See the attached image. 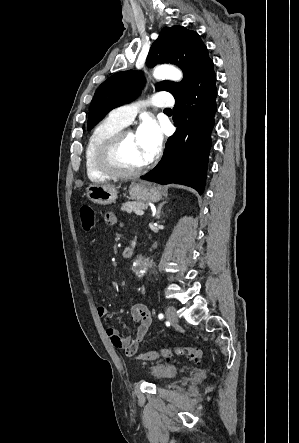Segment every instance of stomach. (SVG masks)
Here are the masks:
<instances>
[{"label": "stomach", "mask_w": 299, "mask_h": 443, "mask_svg": "<svg viewBox=\"0 0 299 443\" xmlns=\"http://www.w3.org/2000/svg\"><path fill=\"white\" fill-rule=\"evenodd\" d=\"M89 200L100 205H109L116 201L117 190L111 185L91 184L86 188ZM131 199L139 202H157L161 199V190L147 182H135L129 188Z\"/></svg>", "instance_id": "obj_1"}]
</instances>
